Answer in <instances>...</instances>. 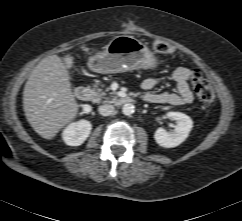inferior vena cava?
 Listing matches in <instances>:
<instances>
[{
	"label": "inferior vena cava",
	"instance_id": "obj_1",
	"mask_svg": "<svg viewBox=\"0 0 242 221\" xmlns=\"http://www.w3.org/2000/svg\"><path fill=\"white\" fill-rule=\"evenodd\" d=\"M114 110V106L109 104L101 105L98 108V111L102 116H109L113 114Z\"/></svg>",
	"mask_w": 242,
	"mask_h": 221
}]
</instances>
